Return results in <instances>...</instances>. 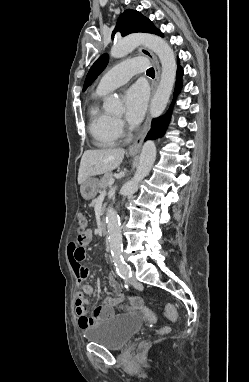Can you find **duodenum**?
Wrapping results in <instances>:
<instances>
[{
	"label": "duodenum",
	"mask_w": 249,
	"mask_h": 382,
	"mask_svg": "<svg viewBox=\"0 0 249 382\" xmlns=\"http://www.w3.org/2000/svg\"><path fill=\"white\" fill-rule=\"evenodd\" d=\"M100 231L102 235H107L108 233V223L106 221V218H102L100 221Z\"/></svg>",
	"instance_id": "1"
}]
</instances>
